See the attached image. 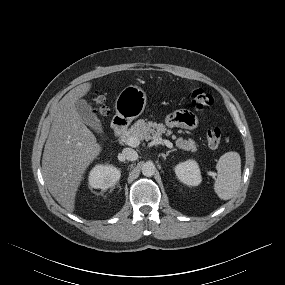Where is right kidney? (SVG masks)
Masks as SVG:
<instances>
[{
    "label": "right kidney",
    "instance_id": "right-kidney-1",
    "mask_svg": "<svg viewBox=\"0 0 285 285\" xmlns=\"http://www.w3.org/2000/svg\"><path fill=\"white\" fill-rule=\"evenodd\" d=\"M121 171L113 165H96L89 174V186L107 190L120 179Z\"/></svg>",
    "mask_w": 285,
    "mask_h": 285
}]
</instances>
